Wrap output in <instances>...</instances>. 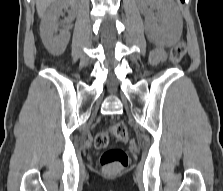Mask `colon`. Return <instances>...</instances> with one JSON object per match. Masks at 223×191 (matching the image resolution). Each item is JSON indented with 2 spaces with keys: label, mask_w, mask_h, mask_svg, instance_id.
Masks as SVG:
<instances>
[{
  "label": "colon",
  "mask_w": 223,
  "mask_h": 191,
  "mask_svg": "<svg viewBox=\"0 0 223 191\" xmlns=\"http://www.w3.org/2000/svg\"><path fill=\"white\" fill-rule=\"evenodd\" d=\"M181 3L184 0H180ZM186 52L184 43H179L171 50V61L178 63L182 60ZM114 137L116 140L126 142L128 139V131L123 122H118L108 131L98 133L94 138L96 148H106L109 143V138ZM100 164L107 172L118 171L124 169L128 165V156L126 152L119 148H108L103 151L100 157Z\"/></svg>",
  "instance_id": "obj_1"
}]
</instances>
